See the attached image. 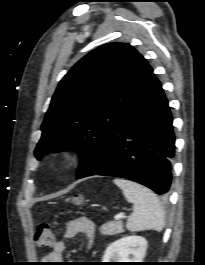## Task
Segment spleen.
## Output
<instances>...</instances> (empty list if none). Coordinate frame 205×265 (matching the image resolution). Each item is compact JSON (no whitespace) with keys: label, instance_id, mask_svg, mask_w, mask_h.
<instances>
[{"label":"spleen","instance_id":"spleen-1","mask_svg":"<svg viewBox=\"0 0 205 265\" xmlns=\"http://www.w3.org/2000/svg\"><path fill=\"white\" fill-rule=\"evenodd\" d=\"M114 183L121 188L127 201L133 203V213L126 223L127 229L132 232H161L165 225L164 210L156 194L130 180L116 178Z\"/></svg>","mask_w":205,"mask_h":265}]
</instances>
